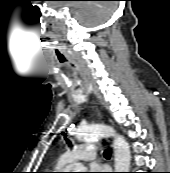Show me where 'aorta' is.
<instances>
[{"mask_svg":"<svg viewBox=\"0 0 170 173\" xmlns=\"http://www.w3.org/2000/svg\"><path fill=\"white\" fill-rule=\"evenodd\" d=\"M114 138V160L115 172H129L131 152L125 138L116 133V131L107 125L98 124L92 125L79 130V141H93L102 137ZM75 172H86V168L82 164H75Z\"/></svg>","mask_w":170,"mask_h":173,"instance_id":"762f6f07","label":"aorta"}]
</instances>
